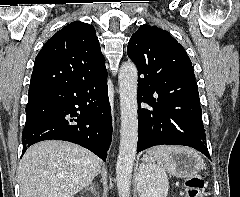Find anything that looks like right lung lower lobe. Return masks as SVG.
Instances as JSON below:
<instances>
[{
  "label": "right lung lower lobe",
  "mask_w": 240,
  "mask_h": 197,
  "mask_svg": "<svg viewBox=\"0 0 240 197\" xmlns=\"http://www.w3.org/2000/svg\"><path fill=\"white\" fill-rule=\"evenodd\" d=\"M111 136L107 73L29 89L22 155L34 143L55 139L79 144L105 161Z\"/></svg>",
  "instance_id": "98d812e1"
}]
</instances>
